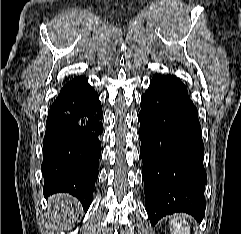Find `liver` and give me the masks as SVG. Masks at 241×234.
I'll use <instances>...</instances> for the list:
<instances>
[{
  "instance_id": "1",
  "label": "liver",
  "mask_w": 241,
  "mask_h": 234,
  "mask_svg": "<svg viewBox=\"0 0 241 234\" xmlns=\"http://www.w3.org/2000/svg\"><path fill=\"white\" fill-rule=\"evenodd\" d=\"M51 211L48 213V222L45 226L51 230H60L67 226L70 219L76 220L79 211V201L66 194H56L49 199Z\"/></svg>"
}]
</instances>
